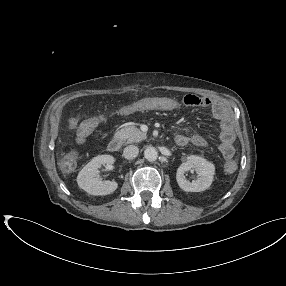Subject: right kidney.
<instances>
[{"label":"right kidney","mask_w":286,"mask_h":286,"mask_svg":"<svg viewBox=\"0 0 286 286\" xmlns=\"http://www.w3.org/2000/svg\"><path fill=\"white\" fill-rule=\"evenodd\" d=\"M114 158L110 155H99L94 157L77 176L78 186L91 195H108L118 188L115 181H102L97 177L102 165H111Z\"/></svg>","instance_id":"1"}]
</instances>
